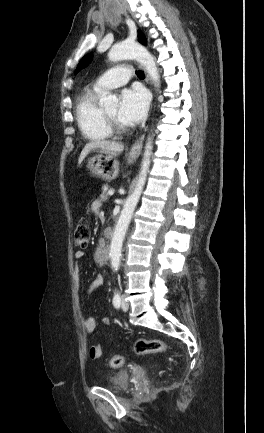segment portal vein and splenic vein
I'll return each instance as SVG.
<instances>
[{
	"mask_svg": "<svg viewBox=\"0 0 264 433\" xmlns=\"http://www.w3.org/2000/svg\"><path fill=\"white\" fill-rule=\"evenodd\" d=\"M108 194H109V195H113V194H114V190H109V191H108Z\"/></svg>",
	"mask_w": 264,
	"mask_h": 433,
	"instance_id": "18ae733b",
	"label": "portal vein and splenic vein"
}]
</instances>
